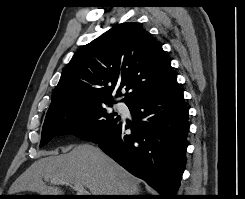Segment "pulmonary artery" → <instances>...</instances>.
I'll return each instance as SVG.
<instances>
[{
    "instance_id": "obj_1",
    "label": "pulmonary artery",
    "mask_w": 245,
    "mask_h": 199,
    "mask_svg": "<svg viewBox=\"0 0 245 199\" xmlns=\"http://www.w3.org/2000/svg\"><path fill=\"white\" fill-rule=\"evenodd\" d=\"M117 106H118V107H120L121 105H120V104H118Z\"/></svg>"
}]
</instances>
